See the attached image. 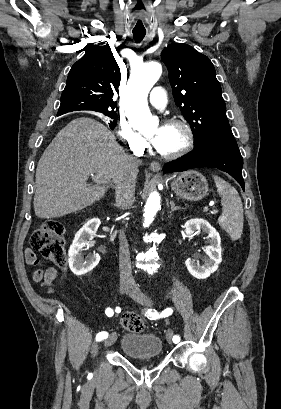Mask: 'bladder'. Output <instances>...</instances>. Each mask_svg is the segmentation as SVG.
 I'll return each mask as SVG.
<instances>
[{
    "instance_id": "bladder-1",
    "label": "bladder",
    "mask_w": 281,
    "mask_h": 409,
    "mask_svg": "<svg viewBox=\"0 0 281 409\" xmlns=\"http://www.w3.org/2000/svg\"><path fill=\"white\" fill-rule=\"evenodd\" d=\"M119 350L128 358L142 360L143 355L164 356L163 341L160 336L152 332L134 333L125 331L118 341Z\"/></svg>"
}]
</instances>
